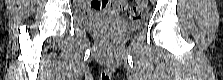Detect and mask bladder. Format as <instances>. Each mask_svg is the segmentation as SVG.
<instances>
[{
    "label": "bladder",
    "instance_id": "bladder-1",
    "mask_svg": "<svg viewBox=\"0 0 223 80\" xmlns=\"http://www.w3.org/2000/svg\"><path fill=\"white\" fill-rule=\"evenodd\" d=\"M77 21L81 27L88 30H101L106 26H114L123 33H134L138 29L136 24H129L118 15L109 13L80 15Z\"/></svg>",
    "mask_w": 223,
    "mask_h": 80
}]
</instances>
